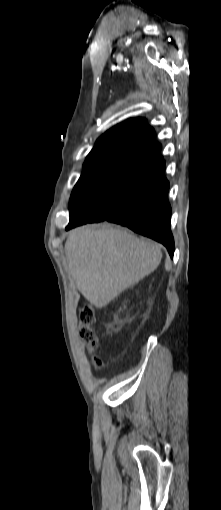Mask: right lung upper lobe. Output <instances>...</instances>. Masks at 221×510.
Returning a JSON list of instances; mask_svg holds the SVG:
<instances>
[{"mask_svg": "<svg viewBox=\"0 0 221 510\" xmlns=\"http://www.w3.org/2000/svg\"><path fill=\"white\" fill-rule=\"evenodd\" d=\"M161 145L155 141V132L145 119H129L114 126L96 142L87 158L115 152L136 150L155 154Z\"/></svg>", "mask_w": 221, "mask_h": 510, "instance_id": "cb5924a9", "label": "right lung upper lobe"}]
</instances>
